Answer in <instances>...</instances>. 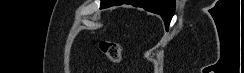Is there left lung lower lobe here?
<instances>
[{
    "mask_svg": "<svg viewBox=\"0 0 244 73\" xmlns=\"http://www.w3.org/2000/svg\"><path fill=\"white\" fill-rule=\"evenodd\" d=\"M132 4L145 10L161 15L168 28L175 11L174 0H106V8L114 5ZM103 9V8H101Z\"/></svg>",
    "mask_w": 244,
    "mask_h": 73,
    "instance_id": "0a47b994",
    "label": "left lung lower lobe"
}]
</instances>
